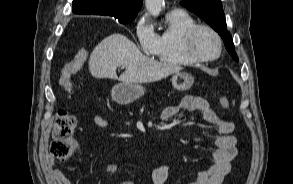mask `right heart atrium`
<instances>
[{
	"mask_svg": "<svg viewBox=\"0 0 293 184\" xmlns=\"http://www.w3.org/2000/svg\"><path fill=\"white\" fill-rule=\"evenodd\" d=\"M134 32L141 50L152 55L157 42V34L154 31L151 20L146 15H141L135 22Z\"/></svg>",
	"mask_w": 293,
	"mask_h": 184,
	"instance_id": "right-heart-atrium-1",
	"label": "right heart atrium"
}]
</instances>
